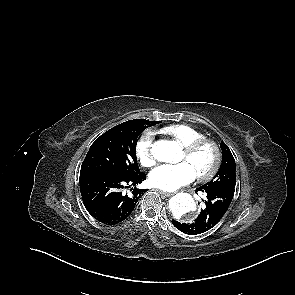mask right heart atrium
<instances>
[{"instance_id": "d8ad5b80", "label": "right heart atrium", "mask_w": 295, "mask_h": 295, "mask_svg": "<svg viewBox=\"0 0 295 295\" xmlns=\"http://www.w3.org/2000/svg\"><path fill=\"white\" fill-rule=\"evenodd\" d=\"M136 156L144 167H152L156 163V154L153 148L151 132L144 133L136 143Z\"/></svg>"}]
</instances>
